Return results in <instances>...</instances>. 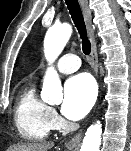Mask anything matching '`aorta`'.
I'll list each match as a JSON object with an SVG mask.
<instances>
[{"label":"aorta","instance_id":"obj_1","mask_svg":"<svg viewBox=\"0 0 131 151\" xmlns=\"http://www.w3.org/2000/svg\"><path fill=\"white\" fill-rule=\"evenodd\" d=\"M72 34V27L67 23L52 26L45 38V57L49 63L54 62L62 52ZM61 95V83L54 68H49L43 82V97L54 101ZM102 124L97 121L88 127L80 151H99L101 145Z\"/></svg>","mask_w":131,"mask_h":151}]
</instances>
